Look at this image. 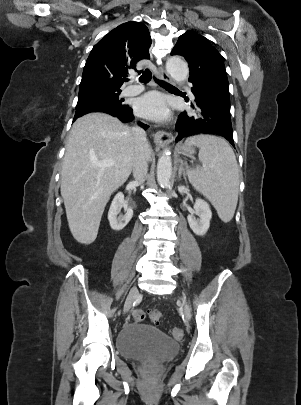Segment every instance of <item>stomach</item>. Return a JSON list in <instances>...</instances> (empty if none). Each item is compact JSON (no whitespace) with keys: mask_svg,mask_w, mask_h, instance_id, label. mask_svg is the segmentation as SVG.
Wrapping results in <instances>:
<instances>
[{"mask_svg":"<svg viewBox=\"0 0 301 405\" xmlns=\"http://www.w3.org/2000/svg\"><path fill=\"white\" fill-rule=\"evenodd\" d=\"M179 151L189 157H192L195 153V149L192 146L183 145L179 148Z\"/></svg>","mask_w":301,"mask_h":405,"instance_id":"0dacf381","label":"stomach"}]
</instances>
